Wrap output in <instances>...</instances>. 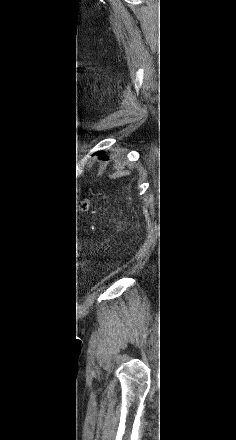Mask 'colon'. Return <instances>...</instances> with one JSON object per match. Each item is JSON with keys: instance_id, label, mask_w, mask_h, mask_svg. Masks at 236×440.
I'll return each mask as SVG.
<instances>
[{"instance_id": "5ec220e1", "label": "colon", "mask_w": 236, "mask_h": 440, "mask_svg": "<svg viewBox=\"0 0 236 440\" xmlns=\"http://www.w3.org/2000/svg\"><path fill=\"white\" fill-rule=\"evenodd\" d=\"M80 209H81L83 214H88L89 213L88 201H82Z\"/></svg>"}]
</instances>
